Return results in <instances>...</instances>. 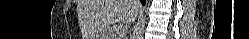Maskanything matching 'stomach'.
Wrapping results in <instances>:
<instances>
[{"mask_svg":"<svg viewBox=\"0 0 249 39\" xmlns=\"http://www.w3.org/2000/svg\"><path fill=\"white\" fill-rule=\"evenodd\" d=\"M99 37L101 38V37H104V36H103V35H100Z\"/></svg>","mask_w":249,"mask_h":39,"instance_id":"obj_1","label":"stomach"}]
</instances>
